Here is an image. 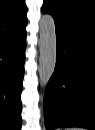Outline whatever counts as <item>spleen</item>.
Returning <instances> with one entry per match:
<instances>
[{"label": "spleen", "mask_w": 95, "mask_h": 130, "mask_svg": "<svg viewBox=\"0 0 95 130\" xmlns=\"http://www.w3.org/2000/svg\"><path fill=\"white\" fill-rule=\"evenodd\" d=\"M71 130H82V129H80V128H73V129H71Z\"/></svg>", "instance_id": "spleen-1"}]
</instances>
